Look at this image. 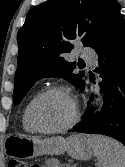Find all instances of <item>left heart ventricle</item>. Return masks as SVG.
I'll list each match as a JSON object with an SVG mask.
<instances>
[{
    "label": "left heart ventricle",
    "instance_id": "left-heart-ventricle-1",
    "mask_svg": "<svg viewBox=\"0 0 125 167\" xmlns=\"http://www.w3.org/2000/svg\"><path fill=\"white\" fill-rule=\"evenodd\" d=\"M73 114L69 98L62 93H51L43 97L35 106L33 120L36 126L53 129L66 124Z\"/></svg>",
    "mask_w": 125,
    "mask_h": 167
}]
</instances>
